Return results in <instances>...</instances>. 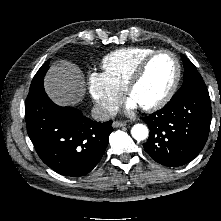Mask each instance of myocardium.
Listing matches in <instances>:
<instances>
[{
  "mask_svg": "<svg viewBox=\"0 0 221 221\" xmlns=\"http://www.w3.org/2000/svg\"><path fill=\"white\" fill-rule=\"evenodd\" d=\"M160 54H168L173 58L174 63H175V75H174V78H173V81H172L170 87L168 88V90L165 92V94L160 99H158L157 101L150 103V104L140 105L141 108L145 111H155V110H158V109L162 108L163 106H165L170 101V99L173 97V95L175 94L177 87L179 85V82H180L181 64H180L178 57L171 50L158 49V50H155L152 53H150L148 56H146L140 62V64L137 66L134 74L132 75V77L126 87L127 95L129 97H131L134 89L136 88V86L141 82V80L145 76L148 66L150 65L152 60Z\"/></svg>",
  "mask_w": 221,
  "mask_h": 221,
  "instance_id": "myocardium-1",
  "label": "myocardium"
}]
</instances>
